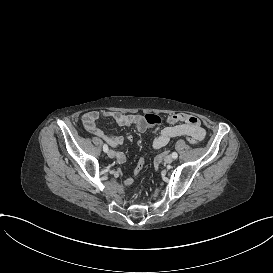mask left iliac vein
<instances>
[{
	"mask_svg": "<svg viewBox=\"0 0 273 273\" xmlns=\"http://www.w3.org/2000/svg\"><path fill=\"white\" fill-rule=\"evenodd\" d=\"M164 162H165V164H171V163L173 162L172 156L167 155V156L164 158Z\"/></svg>",
	"mask_w": 273,
	"mask_h": 273,
	"instance_id": "obj_1",
	"label": "left iliac vein"
}]
</instances>
